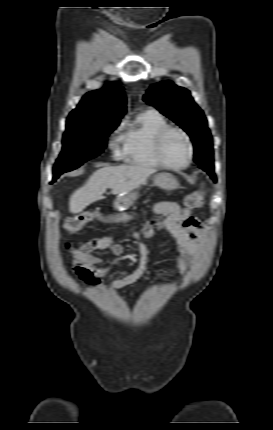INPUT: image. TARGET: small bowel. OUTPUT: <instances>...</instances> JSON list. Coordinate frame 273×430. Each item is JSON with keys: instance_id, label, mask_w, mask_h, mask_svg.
<instances>
[{"instance_id": "obj_1", "label": "small bowel", "mask_w": 273, "mask_h": 430, "mask_svg": "<svg viewBox=\"0 0 273 430\" xmlns=\"http://www.w3.org/2000/svg\"><path fill=\"white\" fill-rule=\"evenodd\" d=\"M153 213L159 216V219L153 220L152 224L165 227L175 238L176 262L181 274H185L190 268L192 262L199 256L200 248L204 242L203 227L198 219L193 217L188 211H181L178 204L174 202H159L153 205ZM154 234L153 226L146 225L139 229L133 227L129 230L128 236L138 242L140 260L136 269L110 282V288L114 290L122 289L136 283L148 269L149 249L142 242V238H150ZM89 251L91 250H111L115 258H119L124 248L122 245L114 242L112 236L97 237L86 243ZM81 258H74V270L80 277L82 283L90 285L94 292L98 291L95 286H100L103 281V269L100 261L90 256L89 253H81ZM102 289L106 288L105 284L101 285Z\"/></svg>"}]
</instances>
